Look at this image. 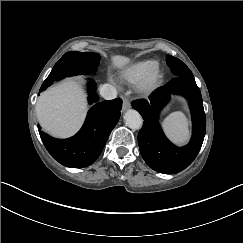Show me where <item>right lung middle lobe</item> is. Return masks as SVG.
Listing matches in <instances>:
<instances>
[{"label":"right lung middle lobe","mask_w":243,"mask_h":243,"mask_svg":"<svg viewBox=\"0 0 243 243\" xmlns=\"http://www.w3.org/2000/svg\"><path fill=\"white\" fill-rule=\"evenodd\" d=\"M100 56L93 52H67L62 58L54 65L51 73L43 82L40 91L45 90L54 81L62 78L89 74L96 70Z\"/></svg>","instance_id":"dd1d6c3e"}]
</instances>
